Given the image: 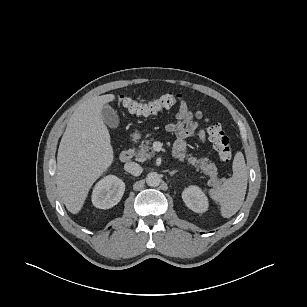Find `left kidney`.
<instances>
[{
    "label": "left kidney",
    "instance_id": "5707ae66",
    "mask_svg": "<svg viewBox=\"0 0 307 307\" xmlns=\"http://www.w3.org/2000/svg\"><path fill=\"white\" fill-rule=\"evenodd\" d=\"M182 199L186 206L196 213L206 212L209 206L208 198L204 192L195 185L187 187L182 192Z\"/></svg>",
    "mask_w": 307,
    "mask_h": 307
}]
</instances>
